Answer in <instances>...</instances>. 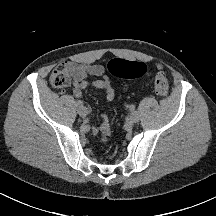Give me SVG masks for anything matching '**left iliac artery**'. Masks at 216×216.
<instances>
[{
    "label": "left iliac artery",
    "mask_w": 216,
    "mask_h": 216,
    "mask_svg": "<svg viewBox=\"0 0 216 216\" xmlns=\"http://www.w3.org/2000/svg\"><path fill=\"white\" fill-rule=\"evenodd\" d=\"M129 110H130V111H134V110H135V105H133V104L130 105V106H129Z\"/></svg>",
    "instance_id": "left-iliac-artery-1"
}]
</instances>
